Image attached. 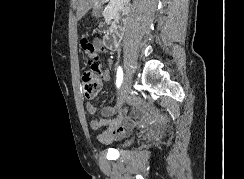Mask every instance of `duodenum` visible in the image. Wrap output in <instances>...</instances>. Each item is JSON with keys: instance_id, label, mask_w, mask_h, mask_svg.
<instances>
[{"instance_id": "duodenum-1", "label": "duodenum", "mask_w": 244, "mask_h": 179, "mask_svg": "<svg viewBox=\"0 0 244 179\" xmlns=\"http://www.w3.org/2000/svg\"><path fill=\"white\" fill-rule=\"evenodd\" d=\"M101 2L105 3L106 0H101ZM130 4H131V2H129L127 0H119L114 3L113 28L110 32L106 33L103 37V41L108 47L116 48L119 46V43L121 41V32H122L123 26H120L118 24V21L121 17H124L129 13Z\"/></svg>"}]
</instances>
